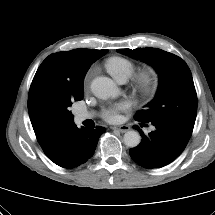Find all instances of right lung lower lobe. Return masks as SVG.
Masks as SVG:
<instances>
[{"label":"right lung lower lobe","instance_id":"98d812e1","mask_svg":"<svg viewBox=\"0 0 215 215\" xmlns=\"http://www.w3.org/2000/svg\"><path fill=\"white\" fill-rule=\"evenodd\" d=\"M89 129L77 126L68 130L58 142L55 149L46 154L47 157L60 167L72 169L88 161L93 155L99 137L106 131L104 127Z\"/></svg>","mask_w":215,"mask_h":215}]
</instances>
